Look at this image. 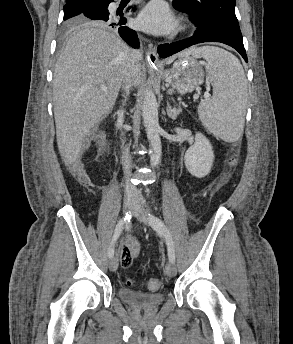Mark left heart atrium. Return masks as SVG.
I'll list each match as a JSON object with an SVG mask.
<instances>
[{"label": "left heart atrium", "mask_w": 293, "mask_h": 344, "mask_svg": "<svg viewBox=\"0 0 293 344\" xmlns=\"http://www.w3.org/2000/svg\"><path fill=\"white\" fill-rule=\"evenodd\" d=\"M137 24L148 32L166 34L173 29L175 21L166 6L160 1H155L141 12Z\"/></svg>", "instance_id": "left-heart-atrium-1"}]
</instances>
